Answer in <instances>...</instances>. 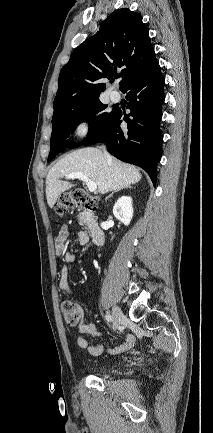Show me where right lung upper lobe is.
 <instances>
[{"label": "right lung upper lobe", "mask_w": 213, "mask_h": 433, "mask_svg": "<svg viewBox=\"0 0 213 433\" xmlns=\"http://www.w3.org/2000/svg\"><path fill=\"white\" fill-rule=\"evenodd\" d=\"M154 58L142 16L127 8L114 11L95 35L74 50L61 70L53 117L68 107L99 97L106 88L101 79H111L117 68H123L119 74L121 90Z\"/></svg>", "instance_id": "right-lung-upper-lobe-1"}]
</instances>
